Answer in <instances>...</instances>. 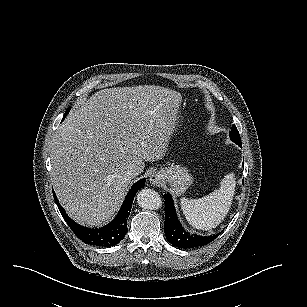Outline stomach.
<instances>
[{"instance_id":"stomach-1","label":"stomach","mask_w":307,"mask_h":307,"mask_svg":"<svg viewBox=\"0 0 307 307\" xmlns=\"http://www.w3.org/2000/svg\"><path fill=\"white\" fill-rule=\"evenodd\" d=\"M161 183H169L176 195H181L192 185L194 178L187 167L172 164L155 172Z\"/></svg>"}]
</instances>
